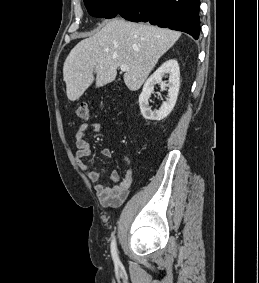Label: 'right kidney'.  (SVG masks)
Wrapping results in <instances>:
<instances>
[{"label":"right kidney","instance_id":"right-kidney-1","mask_svg":"<svg viewBox=\"0 0 259 283\" xmlns=\"http://www.w3.org/2000/svg\"><path fill=\"white\" fill-rule=\"evenodd\" d=\"M169 75V82L162 81L163 76ZM160 83L162 88L168 87V99L164 101L159 110H151L148 100L154 86ZM180 87V70L177 60L170 59L164 62L145 82L142 93L139 96V106L142 116L146 120L160 121L166 118L173 110Z\"/></svg>","mask_w":259,"mask_h":283}]
</instances>
